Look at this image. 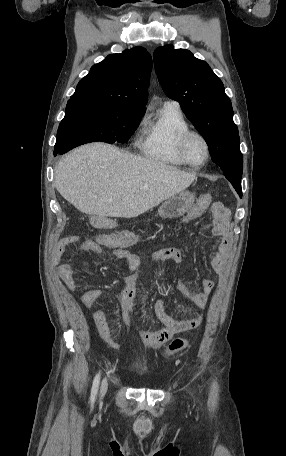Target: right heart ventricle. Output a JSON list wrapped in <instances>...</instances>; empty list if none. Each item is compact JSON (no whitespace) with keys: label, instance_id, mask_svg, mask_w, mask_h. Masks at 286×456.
Segmentation results:
<instances>
[{"label":"right heart ventricle","instance_id":"right-heart-ventricle-1","mask_svg":"<svg viewBox=\"0 0 286 456\" xmlns=\"http://www.w3.org/2000/svg\"><path fill=\"white\" fill-rule=\"evenodd\" d=\"M189 129V124L180 109L164 105L155 118L146 124L139 141L142 154L156 163L186 165L177 154L176 140Z\"/></svg>","mask_w":286,"mask_h":456}]
</instances>
